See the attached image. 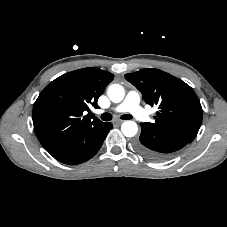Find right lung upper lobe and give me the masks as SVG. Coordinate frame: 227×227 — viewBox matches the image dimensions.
Wrapping results in <instances>:
<instances>
[{
    "label": "right lung upper lobe",
    "mask_w": 227,
    "mask_h": 227,
    "mask_svg": "<svg viewBox=\"0 0 227 227\" xmlns=\"http://www.w3.org/2000/svg\"><path fill=\"white\" fill-rule=\"evenodd\" d=\"M114 78L99 68L78 69L53 80L38 96L33 106L34 131L45 150L56 148L74 134L103 122L83 115Z\"/></svg>",
    "instance_id": "right-lung-upper-lobe-1"
}]
</instances>
